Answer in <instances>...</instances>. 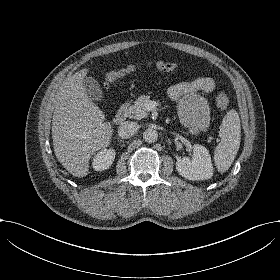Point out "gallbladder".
<instances>
[{
    "mask_svg": "<svg viewBox=\"0 0 280 280\" xmlns=\"http://www.w3.org/2000/svg\"><path fill=\"white\" fill-rule=\"evenodd\" d=\"M83 86L87 96L91 100L100 101L103 97L100 85L94 78L86 76L83 79Z\"/></svg>",
    "mask_w": 280,
    "mask_h": 280,
    "instance_id": "obj_1",
    "label": "gallbladder"
}]
</instances>
